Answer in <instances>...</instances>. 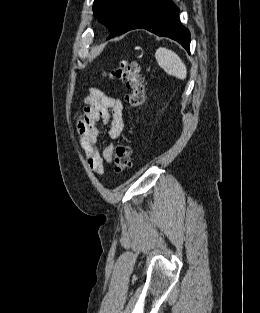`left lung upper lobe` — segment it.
Here are the masks:
<instances>
[{
    "label": "left lung upper lobe",
    "mask_w": 260,
    "mask_h": 313,
    "mask_svg": "<svg viewBox=\"0 0 260 313\" xmlns=\"http://www.w3.org/2000/svg\"><path fill=\"white\" fill-rule=\"evenodd\" d=\"M153 0H95L94 16L110 30V37L123 34L125 29Z\"/></svg>",
    "instance_id": "left-lung-upper-lobe-1"
}]
</instances>
